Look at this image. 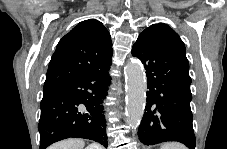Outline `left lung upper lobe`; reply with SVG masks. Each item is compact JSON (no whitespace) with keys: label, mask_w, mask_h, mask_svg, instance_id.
Returning a JSON list of instances; mask_svg holds the SVG:
<instances>
[{"label":"left lung upper lobe","mask_w":227,"mask_h":149,"mask_svg":"<svg viewBox=\"0 0 227 149\" xmlns=\"http://www.w3.org/2000/svg\"><path fill=\"white\" fill-rule=\"evenodd\" d=\"M151 27H155L160 34L163 36L168 45L184 60V62L189 66L188 60L186 58L185 45L180 39L179 35L168 25L160 23L153 24Z\"/></svg>","instance_id":"left-lung-upper-lobe-1"}]
</instances>
